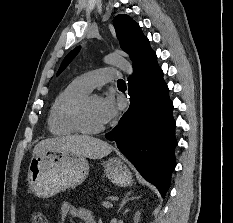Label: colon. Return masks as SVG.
<instances>
[{
  "label": "colon",
  "mask_w": 233,
  "mask_h": 223,
  "mask_svg": "<svg viewBox=\"0 0 233 223\" xmlns=\"http://www.w3.org/2000/svg\"><path fill=\"white\" fill-rule=\"evenodd\" d=\"M33 223H45V219L40 215H36L34 216Z\"/></svg>",
  "instance_id": "colon-1"
}]
</instances>
